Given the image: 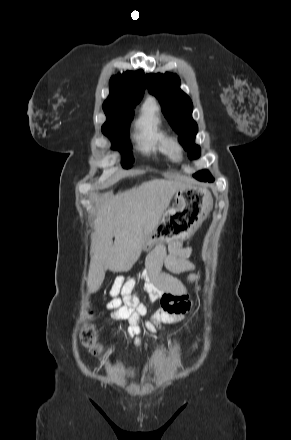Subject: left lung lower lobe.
I'll return each mask as SVG.
<instances>
[{
  "label": "left lung lower lobe",
  "mask_w": 291,
  "mask_h": 440,
  "mask_svg": "<svg viewBox=\"0 0 291 440\" xmlns=\"http://www.w3.org/2000/svg\"><path fill=\"white\" fill-rule=\"evenodd\" d=\"M206 181L212 182V181H214V179H213V177H211V178H208Z\"/></svg>",
  "instance_id": "left-lung-lower-lobe-1"
}]
</instances>
